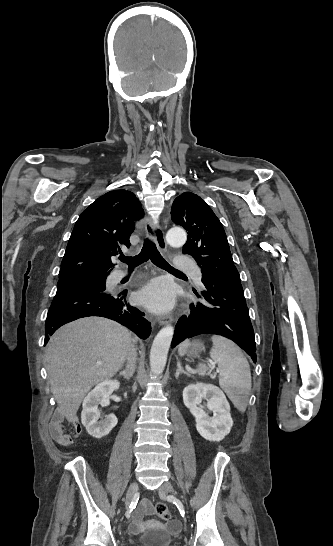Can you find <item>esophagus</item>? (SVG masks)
<instances>
[{
  "instance_id": "34e87169",
  "label": "esophagus",
  "mask_w": 333,
  "mask_h": 546,
  "mask_svg": "<svg viewBox=\"0 0 333 546\" xmlns=\"http://www.w3.org/2000/svg\"><path fill=\"white\" fill-rule=\"evenodd\" d=\"M145 230L147 236L153 238L161 251H166L167 245L162 228L158 224H154L150 218H147ZM160 325H166L173 321L172 315H162L157 318Z\"/></svg>"
}]
</instances>
